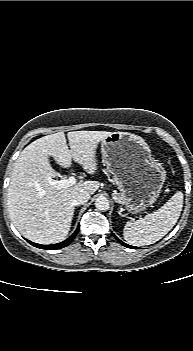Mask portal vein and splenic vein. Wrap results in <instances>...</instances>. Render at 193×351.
Listing matches in <instances>:
<instances>
[{
    "label": "portal vein and splenic vein",
    "mask_w": 193,
    "mask_h": 351,
    "mask_svg": "<svg viewBox=\"0 0 193 351\" xmlns=\"http://www.w3.org/2000/svg\"><path fill=\"white\" fill-rule=\"evenodd\" d=\"M49 183L50 185L54 186L57 189L68 188L76 184V178L74 176H70L68 179H62V180L51 179ZM114 199L117 200L116 197H114Z\"/></svg>",
    "instance_id": "18ae733b"
}]
</instances>
